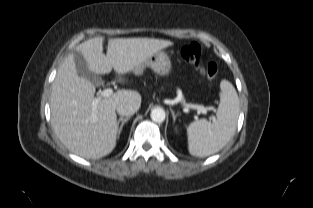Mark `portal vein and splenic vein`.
Here are the masks:
<instances>
[{"instance_id":"18ae733b","label":"portal vein and splenic vein","mask_w":313,"mask_h":208,"mask_svg":"<svg viewBox=\"0 0 313 208\" xmlns=\"http://www.w3.org/2000/svg\"><path fill=\"white\" fill-rule=\"evenodd\" d=\"M112 94H113V89L107 88L101 92V97H110ZM97 102H98V99L94 101V104H96ZM184 106L196 109L199 113H203V114H207L208 110L210 109V108L204 107L202 105H197V104H184ZM212 119L214 120L215 118L212 117Z\"/></svg>"}]
</instances>
